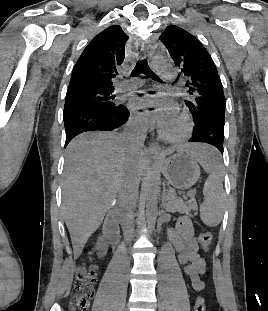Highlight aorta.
Masks as SVG:
<instances>
[{"instance_id": "1", "label": "aorta", "mask_w": 268, "mask_h": 311, "mask_svg": "<svg viewBox=\"0 0 268 311\" xmlns=\"http://www.w3.org/2000/svg\"><path fill=\"white\" fill-rule=\"evenodd\" d=\"M153 65L161 70L166 66V60L163 56L155 55L152 58ZM160 170L154 167L148 175L146 183V218L150 233L155 229L158 216V198L160 194Z\"/></svg>"}]
</instances>
